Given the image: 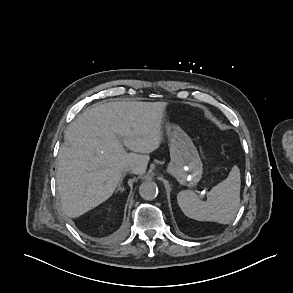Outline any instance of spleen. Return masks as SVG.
Masks as SVG:
<instances>
[{
	"label": "spleen",
	"mask_w": 293,
	"mask_h": 293,
	"mask_svg": "<svg viewBox=\"0 0 293 293\" xmlns=\"http://www.w3.org/2000/svg\"><path fill=\"white\" fill-rule=\"evenodd\" d=\"M240 187V170L235 165L228 177L208 192L206 201L200 200L195 192L184 190L177 195L178 205L187 217L197 221L229 224L240 206Z\"/></svg>",
	"instance_id": "1"
}]
</instances>
